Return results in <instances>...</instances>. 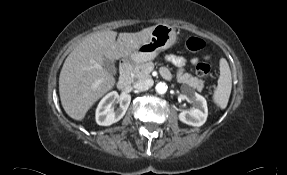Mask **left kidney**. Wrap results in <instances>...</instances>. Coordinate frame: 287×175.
<instances>
[{
    "label": "left kidney",
    "mask_w": 287,
    "mask_h": 175,
    "mask_svg": "<svg viewBox=\"0 0 287 175\" xmlns=\"http://www.w3.org/2000/svg\"><path fill=\"white\" fill-rule=\"evenodd\" d=\"M186 100L193 103L194 107L190 110H184L179 114V120L191 126H202L208 116L206 99L198 93L189 92Z\"/></svg>",
    "instance_id": "1"
}]
</instances>
